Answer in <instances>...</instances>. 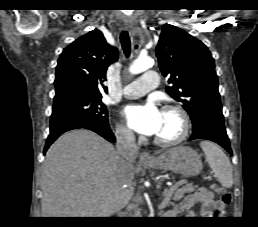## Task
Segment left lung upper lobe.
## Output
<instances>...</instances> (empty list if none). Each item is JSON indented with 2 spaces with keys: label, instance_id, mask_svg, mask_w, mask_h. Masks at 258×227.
<instances>
[{
  "label": "left lung upper lobe",
  "instance_id": "1",
  "mask_svg": "<svg viewBox=\"0 0 258 227\" xmlns=\"http://www.w3.org/2000/svg\"><path fill=\"white\" fill-rule=\"evenodd\" d=\"M156 55L162 74L171 84L166 91L183 104L192 119L193 129L210 117L223 119L214 59L201 41L166 24Z\"/></svg>",
  "mask_w": 258,
  "mask_h": 227
}]
</instances>
